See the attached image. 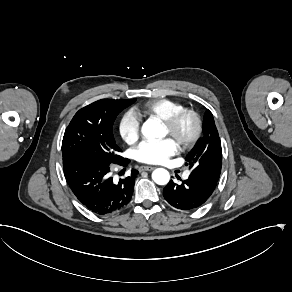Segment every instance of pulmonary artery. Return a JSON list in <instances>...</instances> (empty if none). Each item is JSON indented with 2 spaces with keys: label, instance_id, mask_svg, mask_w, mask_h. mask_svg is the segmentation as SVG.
Returning a JSON list of instances; mask_svg holds the SVG:
<instances>
[{
  "label": "pulmonary artery",
  "instance_id": "1",
  "mask_svg": "<svg viewBox=\"0 0 292 292\" xmlns=\"http://www.w3.org/2000/svg\"><path fill=\"white\" fill-rule=\"evenodd\" d=\"M190 175V171H187L186 173H185V177H188Z\"/></svg>",
  "mask_w": 292,
  "mask_h": 292
}]
</instances>
